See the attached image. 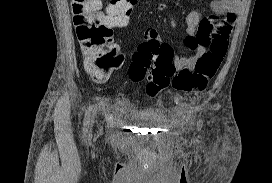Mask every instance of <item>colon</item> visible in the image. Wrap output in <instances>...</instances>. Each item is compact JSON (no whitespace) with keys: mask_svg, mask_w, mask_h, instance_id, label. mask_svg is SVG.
Here are the masks:
<instances>
[{"mask_svg":"<svg viewBox=\"0 0 272 183\" xmlns=\"http://www.w3.org/2000/svg\"><path fill=\"white\" fill-rule=\"evenodd\" d=\"M137 0H111L105 11L100 0H72L71 9L85 67L94 78H105L121 66L123 56L114 43L113 30L126 25ZM209 50L193 69L177 70L173 49L165 42L148 41L139 45L129 67L133 82L147 81L148 95L155 96L169 87L180 92L203 91L215 76L227 52V36L214 37Z\"/></svg>","mask_w":272,"mask_h":183,"instance_id":"1","label":"colon"}]
</instances>
